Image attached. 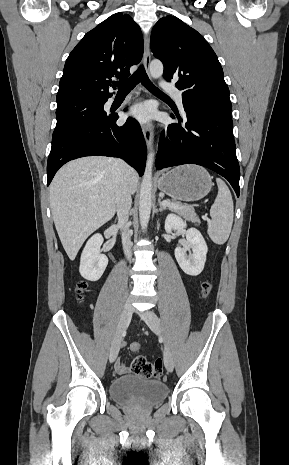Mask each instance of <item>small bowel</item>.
Wrapping results in <instances>:
<instances>
[{
  "label": "small bowel",
  "instance_id": "c3829d8e",
  "mask_svg": "<svg viewBox=\"0 0 289 465\" xmlns=\"http://www.w3.org/2000/svg\"><path fill=\"white\" fill-rule=\"evenodd\" d=\"M115 369L118 374H125L129 372V368L120 361L116 362Z\"/></svg>",
  "mask_w": 289,
  "mask_h": 465
}]
</instances>
